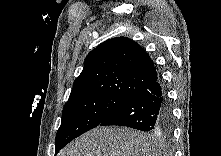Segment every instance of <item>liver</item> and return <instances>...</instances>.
I'll list each match as a JSON object with an SVG mask.
<instances>
[{
    "instance_id": "obj_1",
    "label": "liver",
    "mask_w": 221,
    "mask_h": 156,
    "mask_svg": "<svg viewBox=\"0 0 221 156\" xmlns=\"http://www.w3.org/2000/svg\"><path fill=\"white\" fill-rule=\"evenodd\" d=\"M163 150L150 134L127 127H98L72 141L59 156H160Z\"/></svg>"
}]
</instances>
